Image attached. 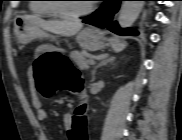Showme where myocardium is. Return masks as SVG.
Returning <instances> with one entry per match:
<instances>
[{"label": "myocardium", "mask_w": 182, "mask_h": 140, "mask_svg": "<svg viewBox=\"0 0 182 140\" xmlns=\"http://www.w3.org/2000/svg\"><path fill=\"white\" fill-rule=\"evenodd\" d=\"M57 1H61V0H57ZM55 12L58 16L65 18V19H77V18H81L85 15H87L88 13L91 12L93 6L91 3L87 4V6L77 12H70L67 11L64 7V5L60 2H56L55 4H53Z\"/></svg>", "instance_id": "1"}]
</instances>
